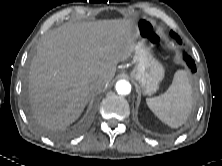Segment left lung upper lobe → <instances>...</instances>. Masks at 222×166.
Segmentation results:
<instances>
[{"label":"left lung upper lobe","instance_id":"obj_1","mask_svg":"<svg viewBox=\"0 0 222 166\" xmlns=\"http://www.w3.org/2000/svg\"><path fill=\"white\" fill-rule=\"evenodd\" d=\"M170 34H171V36L174 37L177 41H181L180 38H179V36H178L176 33H174L173 31H171Z\"/></svg>","mask_w":222,"mask_h":166}]
</instances>
